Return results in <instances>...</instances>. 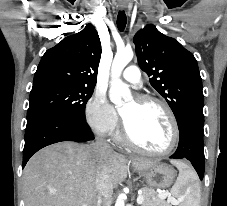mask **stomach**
<instances>
[{
  "label": "stomach",
  "mask_w": 227,
  "mask_h": 206,
  "mask_svg": "<svg viewBox=\"0 0 227 206\" xmlns=\"http://www.w3.org/2000/svg\"><path fill=\"white\" fill-rule=\"evenodd\" d=\"M142 176L150 187L164 189L173 184L176 171L165 163L156 162L143 171Z\"/></svg>",
  "instance_id": "stomach-1"
}]
</instances>
